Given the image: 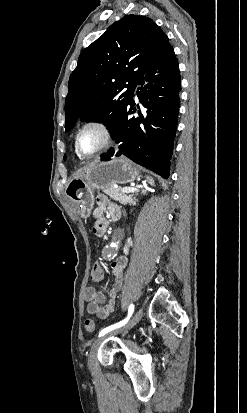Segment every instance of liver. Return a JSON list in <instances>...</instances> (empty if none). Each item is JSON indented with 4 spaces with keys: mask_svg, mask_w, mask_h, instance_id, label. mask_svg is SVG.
<instances>
[{
    "mask_svg": "<svg viewBox=\"0 0 247 413\" xmlns=\"http://www.w3.org/2000/svg\"><path fill=\"white\" fill-rule=\"evenodd\" d=\"M90 164H87V166H82V168H78L76 172H74L73 176H78V174H81V172H84V170H87L89 168Z\"/></svg>",
    "mask_w": 247,
    "mask_h": 413,
    "instance_id": "6515ba94",
    "label": "liver"
}]
</instances>
